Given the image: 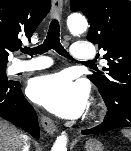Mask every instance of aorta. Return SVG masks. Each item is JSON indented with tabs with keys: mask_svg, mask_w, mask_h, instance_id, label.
Returning <instances> with one entry per match:
<instances>
[{
	"mask_svg": "<svg viewBox=\"0 0 131 151\" xmlns=\"http://www.w3.org/2000/svg\"><path fill=\"white\" fill-rule=\"evenodd\" d=\"M67 26L72 34H81L87 29V21L81 14H71L67 19ZM67 136L65 132H62L57 137L52 151H67Z\"/></svg>",
	"mask_w": 131,
	"mask_h": 151,
	"instance_id": "1",
	"label": "aorta"
}]
</instances>
